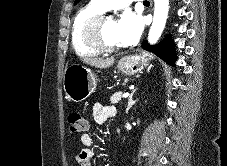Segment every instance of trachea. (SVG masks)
Instances as JSON below:
<instances>
[{"instance_id": "trachea-1", "label": "trachea", "mask_w": 227, "mask_h": 166, "mask_svg": "<svg viewBox=\"0 0 227 166\" xmlns=\"http://www.w3.org/2000/svg\"><path fill=\"white\" fill-rule=\"evenodd\" d=\"M143 3H144V4H149V1H144Z\"/></svg>"}]
</instances>
